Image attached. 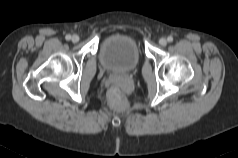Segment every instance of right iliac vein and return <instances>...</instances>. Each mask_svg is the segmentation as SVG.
Segmentation results:
<instances>
[{"label":"right iliac vein","mask_w":238,"mask_h":158,"mask_svg":"<svg viewBox=\"0 0 238 158\" xmlns=\"http://www.w3.org/2000/svg\"><path fill=\"white\" fill-rule=\"evenodd\" d=\"M71 40H72V42L76 43V42L79 41V36H78V35H73V36L71 37Z\"/></svg>","instance_id":"63e3f726"}]
</instances>
